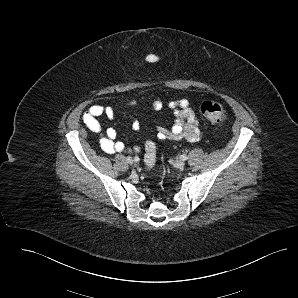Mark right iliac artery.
<instances>
[{"label": "right iliac artery", "instance_id": "right-iliac-artery-1", "mask_svg": "<svg viewBox=\"0 0 298 298\" xmlns=\"http://www.w3.org/2000/svg\"><path fill=\"white\" fill-rule=\"evenodd\" d=\"M134 161H135V162H138V161H139V157H137V156L134 157Z\"/></svg>", "mask_w": 298, "mask_h": 298}]
</instances>
